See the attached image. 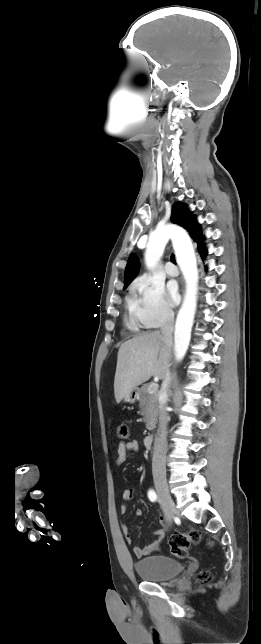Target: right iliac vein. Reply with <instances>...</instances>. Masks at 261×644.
I'll return each mask as SVG.
<instances>
[{"instance_id":"obj_1","label":"right iliac vein","mask_w":261,"mask_h":644,"mask_svg":"<svg viewBox=\"0 0 261 644\" xmlns=\"http://www.w3.org/2000/svg\"><path fill=\"white\" fill-rule=\"evenodd\" d=\"M154 484L156 491L161 499V501L172 511V512H177L175 503L170 495L167 481L164 476L162 475H156L154 477Z\"/></svg>"}]
</instances>
